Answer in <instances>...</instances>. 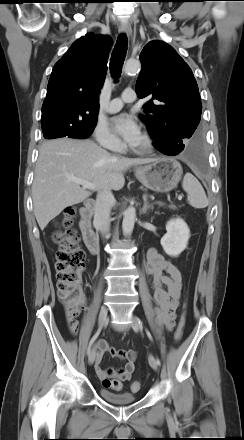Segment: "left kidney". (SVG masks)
<instances>
[{
  "mask_svg": "<svg viewBox=\"0 0 244 440\" xmlns=\"http://www.w3.org/2000/svg\"><path fill=\"white\" fill-rule=\"evenodd\" d=\"M166 231L161 238L163 250L167 255L177 257L188 245L190 230L183 219L176 218L167 222Z\"/></svg>",
  "mask_w": 244,
  "mask_h": 440,
  "instance_id": "left-kidney-1",
  "label": "left kidney"
}]
</instances>
